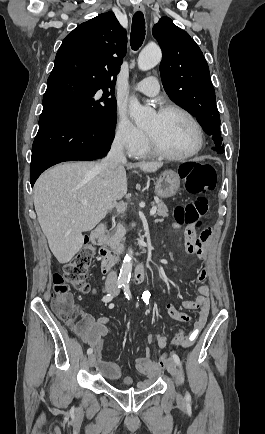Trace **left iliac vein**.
I'll return each instance as SVG.
<instances>
[{
  "label": "left iliac vein",
  "instance_id": "1",
  "mask_svg": "<svg viewBox=\"0 0 265 434\" xmlns=\"http://www.w3.org/2000/svg\"><path fill=\"white\" fill-rule=\"evenodd\" d=\"M166 368L168 370V372L172 375L173 379H176L178 376V370H177V366L176 363L173 359L169 358L166 361ZM177 400L179 403H183V397L180 393H177Z\"/></svg>",
  "mask_w": 265,
  "mask_h": 434
}]
</instances>
